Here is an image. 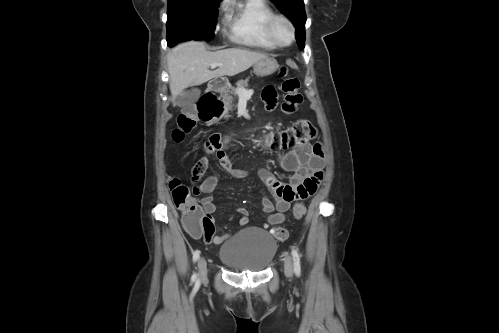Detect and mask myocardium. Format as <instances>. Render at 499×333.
Listing matches in <instances>:
<instances>
[{
	"instance_id": "obj_1",
	"label": "myocardium",
	"mask_w": 499,
	"mask_h": 333,
	"mask_svg": "<svg viewBox=\"0 0 499 333\" xmlns=\"http://www.w3.org/2000/svg\"><path fill=\"white\" fill-rule=\"evenodd\" d=\"M284 22L288 26V31H289V38L287 41H282L276 34L275 27L278 22ZM267 33L270 36V38L275 42L277 46L285 47L289 46L290 44L293 43L295 39V28L290 20L286 15L283 14H273L269 20L267 21Z\"/></svg>"
}]
</instances>
